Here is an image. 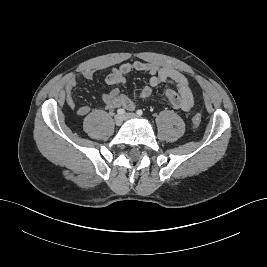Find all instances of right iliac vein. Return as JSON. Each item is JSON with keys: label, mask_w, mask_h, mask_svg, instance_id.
<instances>
[{"label": "right iliac vein", "mask_w": 267, "mask_h": 267, "mask_svg": "<svg viewBox=\"0 0 267 267\" xmlns=\"http://www.w3.org/2000/svg\"><path fill=\"white\" fill-rule=\"evenodd\" d=\"M124 121V116L123 115H116L115 118H114V122L117 126H120Z\"/></svg>", "instance_id": "1"}]
</instances>
